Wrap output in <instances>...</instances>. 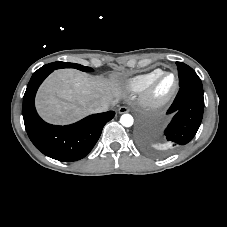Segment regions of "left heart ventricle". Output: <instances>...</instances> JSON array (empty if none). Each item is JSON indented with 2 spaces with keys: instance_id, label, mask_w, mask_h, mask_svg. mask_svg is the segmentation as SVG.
Masks as SVG:
<instances>
[{
  "instance_id": "left-heart-ventricle-1",
  "label": "left heart ventricle",
  "mask_w": 227,
  "mask_h": 227,
  "mask_svg": "<svg viewBox=\"0 0 227 227\" xmlns=\"http://www.w3.org/2000/svg\"><path fill=\"white\" fill-rule=\"evenodd\" d=\"M172 82H173L172 76L168 75V76L164 77V79L160 83L159 91L161 93L167 91L169 89V87L171 86Z\"/></svg>"
}]
</instances>
